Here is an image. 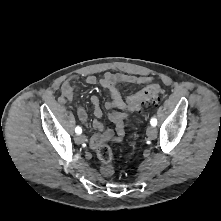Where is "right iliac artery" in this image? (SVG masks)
Returning <instances> with one entry per match:
<instances>
[{
  "label": "right iliac artery",
  "instance_id": "obj_1",
  "mask_svg": "<svg viewBox=\"0 0 221 221\" xmlns=\"http://www.w3.org/2000/svg\"><path fill=\"white\" fill-rule=\"evenodd\" d=\"M75 132H76L78 135L81 134V133H82L81 127H80V126H77V127L75 128Z\"/></svg>",
  "mask_w": 221,
  "mask_h": 221
}]
</instances>
